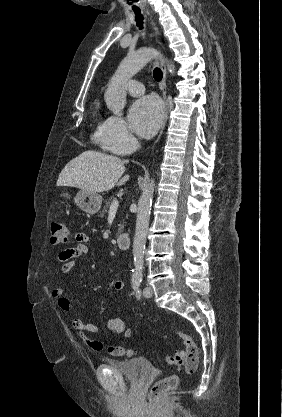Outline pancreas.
<instances>
[{
  "instance_id": "pancreas-1",
  "label": "pancreas",
  "mask_w": 282,
  "mask_h": 417,
  "mask_svg": "<svg viewBox=\"0 0 282 417\" xmlns=\"http://www.w3.org/2000/svg\"><path fill=\"white\" fill-rule=\"evenodd\" d=\"M111 200H116L115 196H111V198H109V200H106L104 209H103L102 213H100L99 217H104V215H106V213L109 209V206L111 204ZM123 229H124L123 225H119L118 233H116L117 237H118V235H121V233H123Z\"/></svg>"
}]
</instances>
